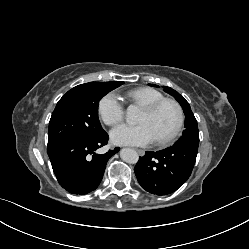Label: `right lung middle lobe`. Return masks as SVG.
Here are the masks:
<instances>
[{"label":"right lung middle lobe","mask_w":249,"mask_h":249,"mask_svg":"<svg viewBox=\"0 0 249 249\" xmlns=\"http://www.w3.org/2000/svg\"><path fill=\"white\" fill-rule=\"evenodd\" d=\"M89 82L69 90L57 103L48 129V148L74 139H92L104 130L98 119V103L111 90L122 85Z\"/></svg>","instance_id":"1"}]
</instances>
